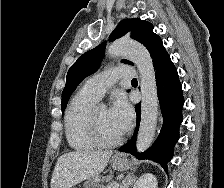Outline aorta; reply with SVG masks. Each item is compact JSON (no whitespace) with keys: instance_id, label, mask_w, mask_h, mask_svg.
I'll return each mask as SVG.
<instances>
[{"instance_id":"aorta-1","label":"aorta","mask_w":224,"mask_h":188,"mask_svg":"<svg viewBox=\"0 0 224 188\" xmlns=\"http://www.w3.org/2000/svg\"><path fill=\"white\" fill-rule=\"evenodd\" d=\"M107 55L126 56L135 63L139 71L142 102L136 148L138 152H144L154 139L158 115L157 85L150 53L142 44L122 38L108 47Z\"/></svg>"}]
</instances>
